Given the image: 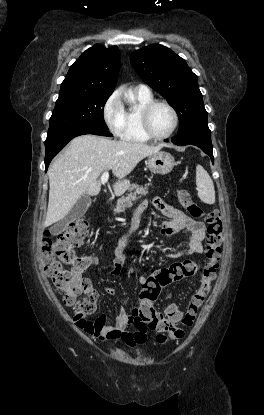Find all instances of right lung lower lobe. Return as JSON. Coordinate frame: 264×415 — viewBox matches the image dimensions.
Returning <instances> with one entry per match:
<instances>
[{
	"label": "right lung lower lobe",
	"instance_id": "obj_1",
	"mask_svg": "<svg viewBox=\"0 0 264 415\" xmlns=\"http://www.w3.org/2000/svg\"><path fill=\"white\" fill-rule=\"evenodd\" d=\"M84 134H94V135H101V136H108L111 137L112 134L107 131V129H100V128H83L71 133H68L48 144H46V155H45V171H47L48 166L51 160L59 153L63 147L74 137L84 135Z\"/></svg>",
	"mask_w": 264,
	"mask_h": 415
}]
</instances>
